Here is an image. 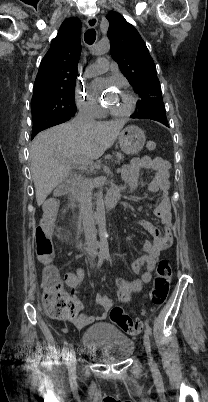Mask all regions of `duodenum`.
I'll return each instance as SVG.
<instances>
[{"label": "duodenum", "mask_w": 208, "mask_h": 402, "mask_svg": "<svg viewBox=\"0 0 208 402\" xmlns=\"http://www.w3.org/2000/svg\"><path fill=\"white\" fill-rule=\"evenodd\" d=\"M70 186H71V192L72 194L79 200L82 201V194L80 191V178L79 177H73L70 181ZM123 191L122 187L116 186L113 187L108 195L106 196L104 200V204L107 208H112L114 207L117 202L119 201L121 197V193Z\"/></svg>", "instance_id": "410a0bca"}]
</instances>
